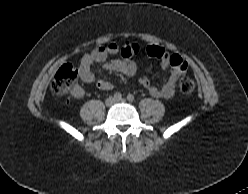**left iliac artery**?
<instances>
[{
    "label": "left iliac artery",
    "instance_id": "1",
    "mask_svg": "<svg viewBox=\"0 0 248 194\" xmlns=\"http://www.w3.org/2000/svg\"><path fill=\"white\" fill-rule=\"evenodd\" d=\"M127 100H128L129 102L134 101V95L128 94V95H127Z\"/></svg>",
    "mask_w": 248,
    "mask_h": 194
}]
</instances>
